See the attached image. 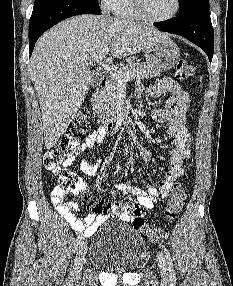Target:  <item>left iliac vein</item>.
<instances>
[{"label": "left iliac vein", "instance_id": "left-iliac-vein-1", "mask_svg": "<svg viewBox=\"0 0 233 286\" xmlns=\"http://www.w3.org/2000/svg\"><path fill=\"white\" fill-rule=\"evenodd\" d=\"M158 265H159L161 276L164 279H167L169 276L168 267H167L166 260L161 253L158 254Z\"/></svg>", "mask_w": 233, "mask_h": 286}]
</instances>
